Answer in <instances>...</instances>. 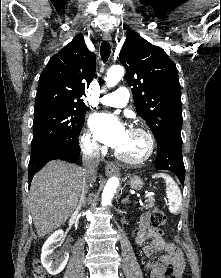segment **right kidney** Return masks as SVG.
<instances>
[{
    "label": "right kidney",
    "mask_w": 221,
    "mask_h": 278,
    "mask_svg": "<svg viewBox=\"0 0 221 278\" xmlns=\"http://www.w3.org/2000/svg\"><path fill=\"white\" fill-rule=\"evenodd\" d=\"M64 237V232L58 230L54 232L44 243L41 253V263L51 275L59 274L66 266L69 253L60 252L53 254L54 250L60 246V241Z\"/></svg>",
    "instance_id": "right-kidney-1"
}]
</instances>
